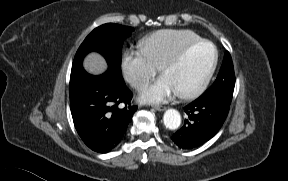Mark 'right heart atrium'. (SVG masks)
Instances as JSON below:
<instances>
[{"mask_svg":"<svg viewBox=\"0 0 288 181\" xmlns=\"http://www.w3.org/2000/svg\"><path fill=\"white\" fill-rule=\"evenodd\" d=\"M121 67L126 80L137 89L143 88L158 70L141 49L125 51L122 56Z\"/></svg>","mask_w":288,"mask_h":181,"instance_id":"1","label":"right heart atrium"}]
</instances>
